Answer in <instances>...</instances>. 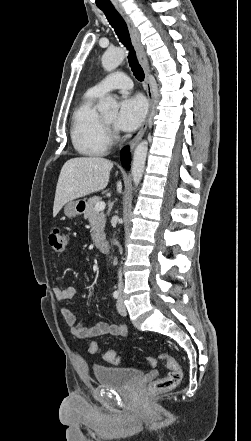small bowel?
<instances>
[{"mask_svg":"<svg viewBox=\"0 0 251 441\" xmlns=\"http://www.w3.org/2000/svg\"><path fill=\"white\" fill-rule=\"evenodd\" d=\"M53 292L58 301H67L76 295L77 290L73 286L66 288L55 287ZM61 313L72 333L78 338L90 339L103 335L124 337L128 333V328L126 325L98 322L93 327L87 328L69 309L63 308Z\"/></svg>","mask_w":251,"mask_h":441,"instance_id":"obj_1","label":"small bowel"}]
</instances>
